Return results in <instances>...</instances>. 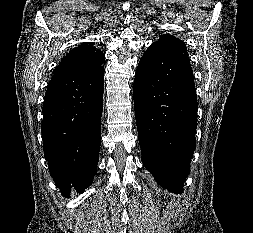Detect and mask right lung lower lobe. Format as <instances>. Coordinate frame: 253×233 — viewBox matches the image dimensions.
<instances>
[{"label": "right lung lower lobe", "instance_id": "1", "mask_svg": "<svg viewBox=\"0 0 253 233\" xmlns=\"http://www.w3.org/2000/svg\"><path fill=\"white\" fill-rule=\"evenodd\" d=\"M104 67L58 73L48 85L42 121L44 155L63 196L93 180L99 158Z\"/></svg>", "mask_w": 253, "mask_h": 233}]
</instances>
